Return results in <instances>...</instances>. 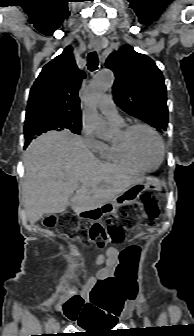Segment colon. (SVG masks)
<instances>
[{
  "instance_id": "5ec220e1",
  "label": "colon",
  "mask_w": 194,
  "mask_h": 336,
  "mask_svg": "<svg viewBox=\"0 0 194 336\" xmlns=\"http://www.w3.org/2000/svg\"><path fill=\"white\" fill-rule=\"evenodd\" d=\"M139 204L142 207V212L137 214L136 207H126L119 212V217L123 220V225L119 224L115 218H108L104 224L94 223L84 226L82 239L96 244L98 247L104 246L106 243L120 244L128 237V230L147 225H155L159 217V207L156 200L149 193L140 195ZM43 225L48 229L59 227L65 231L69 237H74V232L78 226L74 218L64 213L59 217L55 215L47 216ZM137 256V249L130 247L120 255L119 265L116 270V275L119 280L128 279L129 273L134 267ZM121 287L126 293V297L133 295V287L131 284H122ZM123 301V298H122ZM84 300L78 294H73L62 305V312L69 320H77L83 309Z\"/></svg>"
}]
</instances>
